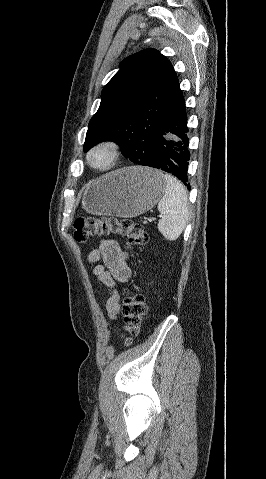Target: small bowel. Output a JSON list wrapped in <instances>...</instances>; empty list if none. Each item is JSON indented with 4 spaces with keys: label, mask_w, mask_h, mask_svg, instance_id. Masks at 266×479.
Instances as JSON below:
<instances>
[{
    "label": "small bowel",
    "mask_w": 266,
    "mask_h": 479,
    "mask_svg": "<svg viewBox=\"0 0 266 479\" xmlns=\"http://www.w3.org/2000/svg\"><path fill=\"white\" fill-rule=\"evenodd\" d=\"M127 254L121 249L115 240L104 239L97 249L89 254L90 262L102 261L94 267V274L109 289L105 308L111 319L116 318L120 311V292L118 283H125L131 277V269L128 265Z\"/></svg>",
    "instance_id": "1"
}]
</instances>
